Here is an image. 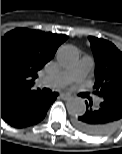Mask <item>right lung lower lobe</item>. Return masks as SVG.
Masks as SVG:
<instances>
[{"mask_svg":"<svg viewBox=\"0 0 122 154\" xmlns=\"http://www.w3.org/2000/svg\"><path fill=\"white\" fill-rule=\"evenodd\" d=\"M57 96L56 92L46 95L42 91L26 95L2 113L1 118L16 128L37 124L46 116L48 108Z\"/></svg>","mask_w":122,"mask_h":154,"instance_id":"right-lung-lower-lobe-1","label":"right lung lower lobe"}]
</instances>
